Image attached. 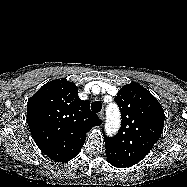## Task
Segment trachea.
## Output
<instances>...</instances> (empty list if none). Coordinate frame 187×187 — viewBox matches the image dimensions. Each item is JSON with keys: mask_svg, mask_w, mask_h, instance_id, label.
<instances>
[{"mask_svg": "<svg viewBox=\"0 0 187 187\" xmlns=\"http://www.w3.org/2000/svg\"><path fill=\"white\" fill-rule=\"evenodd\" d=\"M91 109H92L94 112H96V113L100 112L101 109H102V104H101V102H99V101H94V102L91 104Z\"/></svg>", "mask_w": 187, "mask_h": 187, "instance_id": "obj_1", "label": "trachea"}]
</instances>
